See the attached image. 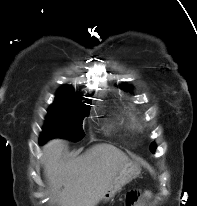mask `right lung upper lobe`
<instances>
[{
    "mask_svg": "<svg viewBox=\"0 0 197 206\" xmlns=\"http://www.w3.org/2000/svg\"><path fill=\"white\" fill-rule=\"evenodd\" d=\"M57 96H74V91L71 87L64 86L59 90Z\"/></svg>",
    "mask_w": 197,
    "mask_h": 206,
    "instance_id": "obj_1",
    "label": "right lung upper lobe"
}]
</instances>
